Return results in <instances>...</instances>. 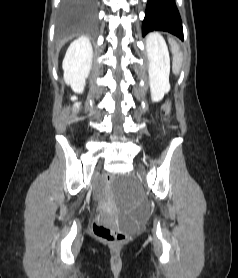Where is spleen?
I'll return each mask as SVG.
<instances>
[{
    "mask_svg": "<svg viewBox=\"0 0 238 278\" xmlns=\"http://www.w3.org/2000/svg\"><path fill=\"white\" fill-rule=\"evenodd\" d=\"M169 43L173 53V71L175 74H178L182 66L183 56L180 52L179 45L173 39H169Z\"/></svg>",
    "mask_w": 238,
    "mask_h": 278,
    "instance_id": "obj_1",
    "label": "spleen"
}]
</instances>
